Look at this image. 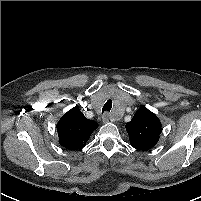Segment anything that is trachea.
Masks as SVG:
<instances>
[{
	"label": "trachea",
	"mask_w": 201,
	"mask_h": 201,
	"mask_svg": "<svg viewBox=\"0 0 201 201\" xmlns=\"http://www.w3.org/2000/svg\"><path fill=\"white\" fill-rule=\"evenodd\" d=\"M112 108V100L108 99L102 108V113L110 111Z\"/></svg>",
	"instance_id": "trachea-1"
}]
</instances>
